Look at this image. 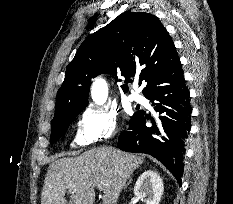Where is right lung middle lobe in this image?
<instances>
[{
	"label": "right lung middle lobe",
	"mask_w": 233,
	"mask_h": 204,
	"mask_svg": "<svg viewBox=\"0 0 233 204\" xmlns=\"http://www.w3.org/2000/svg\"><path fill=\"white\" fill-rule=\"evenodd\" d=\"M82 111L77 110L74 112L69 113L65 117L54 120L51 122V136H50V143L56 142L60 137L65 133L70 123L74 121L76 116Z\"/></svg>",
	"instance_id": "obj_1"
}]
</instances>
